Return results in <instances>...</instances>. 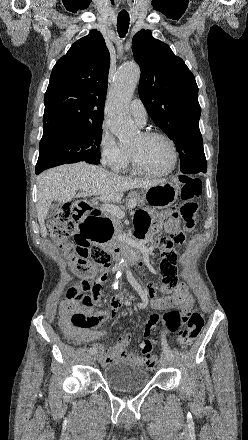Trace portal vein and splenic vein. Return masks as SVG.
Returning a JSON list of instances; mask_svg holds the SVG:
<instances>
[{
  "mask_svg": "<svg viewBox=\"0 0 248 440\" xmlns=\"http://www.w3.org/2000/svg\"><path fill=\"white\" fill-rule=\"evenodd\" d=\"M82 191H88L89 186H84ZM136 206V201L134 199H131L128 203L129 209H133ZM101 209L107 213H109L112 216L118 217V218H124L125 213L116 205L113 204H102Z\"/></svg>",
  "mask_w": 248,
  "mask_h": 440,
  "instance_id": "18ae733b",
  "label": "portal vein and splenic vein"
}]
</instances>
